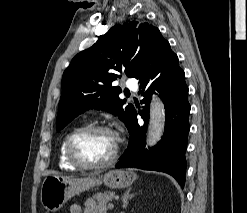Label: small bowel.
Returning <instances> with one entry per match:
<instances>
[{
	"label": "small bowel",
	"instance_id": "obj_1",
	"mask_svg": "<svg viewBox=\"0 0 247 213\" xmlns=\"http://www.w3.org/2000/svg\"><path fill=\"white\" fill-rule=\"evenodd\" d=\"M70 213H104L102 209L92 199L84 201L83 206L79 204H72L70 206Z\"/></svg>",
	"mask_w": 247,
	"mask_h": 213
}]
</instances>
